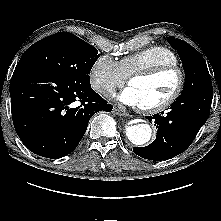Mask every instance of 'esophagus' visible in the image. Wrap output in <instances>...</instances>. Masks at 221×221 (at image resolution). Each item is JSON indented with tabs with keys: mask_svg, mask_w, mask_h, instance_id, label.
Wrapping results in <instances>:
<instances>
[{
	"mask_svg": "<svg viewBox=\"0 0 221 221\" xmlns=\"http://www.w3.org/2000/svg\"><path fill=\"white\" fill-rule=\"evenodd\" d=\"M112 112L115 115H126L125 110L123 108H119V107H114Z\"/></svg>",
	"mask_w": 221,
	"mask_h": 221,
	"instance_id": "obj_1",
	"label": "esophagus"
}]
</instances>
